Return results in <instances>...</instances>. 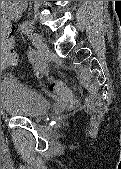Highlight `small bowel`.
<instances>
[{"label":"small bowel","instance_id":"obj_1","mask_svg":"<svg viewBox=\"0 0 121 169\" xmlns=\"http://www.w3.org/2000/svg\"><path fill=\"white\" fill-rule=\"evenodd\" d=\"M23 8L24 1H10V3L4 7L1 16V44L5 40H9L11 44L15 45L11 21L16 20L20 17Z\"/></svg>","mask_w":121,"mask_h":169}]
</instances>
